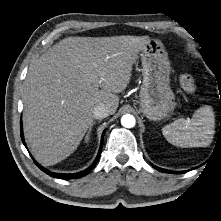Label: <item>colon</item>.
<instances>
[{
    "mask_svg": "<svg viewBox=\"0 0 221 221\" xmlns=\"http://www.w3.org/2000/svg\"><path fill=\"white\" fill-rule=\"evenodd\" d=\"M180 85L182 89L188 94H196L197 86L194 78L189 74H183L180 77Z\"/></svg>",
    "mask_w": 221,
    "mask_h": 221,
    "instance_id": "1",
    "label": "colon"
}]
</instances>
